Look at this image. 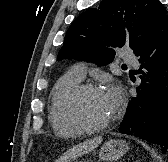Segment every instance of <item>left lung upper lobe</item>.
<instances>
[{
  "label": "left lung upper lobe",
  "instance_id": "1",
  "mask_svg": "<svg viewBox=\"0 0 168 162\" xmlns=\"http://www.w3.org/2000/svg\"><path fill=\"white\" fill-rule=\"evenodd\" d=\"M167 14L157 0H103L82 13L69 27L58 60L64 58L111 63L116 47L136 51Z\"/></svg>",
  "mask_w": 168,
  "mask_h": 162
}]
</instances>
